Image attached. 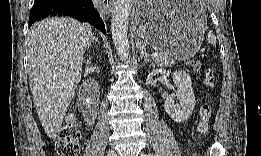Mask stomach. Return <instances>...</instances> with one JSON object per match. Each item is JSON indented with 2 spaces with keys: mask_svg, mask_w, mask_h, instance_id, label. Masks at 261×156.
<instances>
[{
  "mask_svg": "<svg viewBox=\"0 0 261 156\" xmlns=\"http://www.w3.org/2000/svg\"><path fill=\"white\" fill-rule=\"evenodd\" d=\"M137 36L157 51L186 60L203 41L206 14L198 2L137 3L133 12Z\"/></svg>",
  "mask_w": 261,
  "mask_h": 156,
  "instance_id": "0dacf381",
  "label": "stomach"
}]
</instances>
